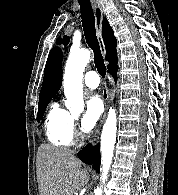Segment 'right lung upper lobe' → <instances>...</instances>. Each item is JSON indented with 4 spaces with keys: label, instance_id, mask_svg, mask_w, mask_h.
<instances>
[{
    "label": "right lung upper lobe",
    "instance_id": "right-lung-upper-lobe-1",
    "mask_svg": "<svg viewBox=\"0 0 178 195\" xmlns=\"http://www.w3.org/2000/svg\"><path fill=\"white\" fill-rule=\"evenodd\" d=\"M102 36L106 47V60L109 66L117 63V40L108 20L103 19ZM62 59L63 54L57 47L53 48L48 56L44 71L43 85L39 94V104L50 102L62 85Z\"/></svg>",
    "mask_w": 178,
    "mask_h": 195
}]
</instances>
